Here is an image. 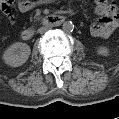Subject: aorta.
<instances>
[{"label":"aorta","instance_id":"762f6f07","mask_svg":"<svg viewBox=\"0 0 119 119\" xmlns=\"http://www.w3.org/2000/svg\"><path fill=\"white\" fill-rule=\"evenodd\" d=\"M62 29L65 32H71L74 29V24L71 21H66L63 23Z\"/></svg>","mask_w":119,"mask_h":119}]
</instances>
